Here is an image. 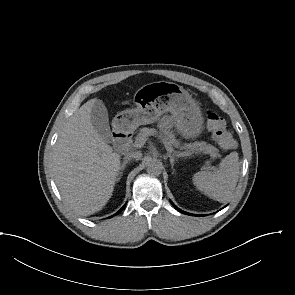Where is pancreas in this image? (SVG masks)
Returning a JSON list of instances; mask_svg holds the SVG:
<instances>
[{
    "label": "pancreas",
    "mask_w": 295,
    "mask_h": 295,
    "mask_svg": "<svg viewBox=\"0 0 295 295\" xmlns=\"http://www.w3.org/2000/svg\"><path fill=\"white\" fill-rule=\"evenodd\" d=\"M158 131L154 128L144 127L140 129L139 133L136 136V142L144 138L147 140L149 136L157 134ZM160 136H163L170 146L180 149H185L186 151L183 153L191 154L192 151H203L209 153L212 157H216L218 155V149L212 146L211 144H207L206 142H194L192 144H185L183 146L180 145V142L175 138V135L170 131H161L159 132Z\"/></svg>",
    "instance_id": "obj_1"
}]
</instances>
